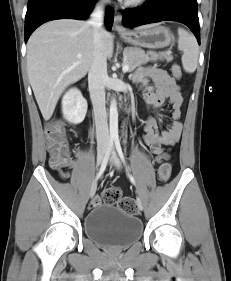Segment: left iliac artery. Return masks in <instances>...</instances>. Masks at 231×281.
I'll return each mask as SVG.
<instances>
[{
    "label": "left iliac artery",
    "instance_id": "1",
    "mask_svg": "<svg viewBox=\"0 0 231 281\" xmlns=\"http://www.w3.org/2000/svg\"><path fill=\"white\" fill-rule=\"evenodd\" d=\"M114 142H115V147H116V150H117V152H118V155H119L121 161L123 162V164H124V166H125V168H126L127 175H128V177H129L130 181H131L134 185H136L135 179H134V177L132 176V174L129 172V168H128L127 164H126L125 157H124V154H123L121 145H120V140H119V138L116 137V138L114 139Z\"/></svg>",
    "mask_w": 231,
    "mask_h": 281
}]
</instances>
